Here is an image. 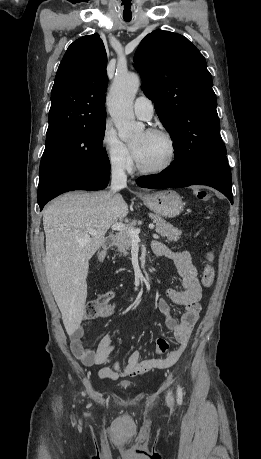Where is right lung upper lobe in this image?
Segmentation results:
<instances>
[{
	"mask_svg": "<svg viewBox=\"0 0 261 459\" xmlns=\"http://www.w3.org/2000/svg\"><path fill=\"white\" fill-rule=\"evenodd\" d=\"M106 65L105 48L98 34L84 36L68 47L51 92L47 134L106 120Z\"/></svg>",
	"mask_w": 261,
	"mask_h": 459,
	"instance_id": "cb5924a9",
	"label": "right lung upper lobe"
}]
</instances>
